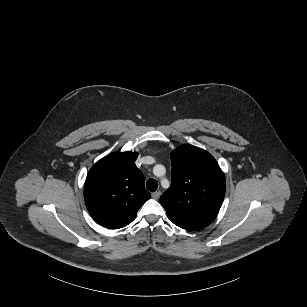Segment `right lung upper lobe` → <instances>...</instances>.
<instances>
[{
  "label": "right lung upper lobe",
  "instance_id": "obj_1",
  "mask_svg": "<svg viewBox=\"0 0 307 307\" xmlns=\"http://www.w3.org/2000/svg\"><path fill=\"white\" fill-rule=\"evenodd\" d=\"M137 156V152L112 153L99 160L87 175V209L106 228L118 229L131 223L151 197L145 189L144 176L135 165Z\"/></svg>",
  "mask_w": 307,
  "mask_h": 307
}]
</instances>
